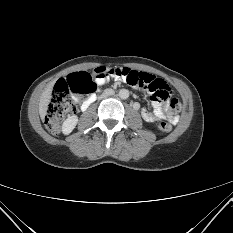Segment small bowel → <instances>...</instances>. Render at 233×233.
<instances>
[{"label":"small bowel","mask_w":233,"mask_h":233,"mask_svg":"<svg viewBox=\"0 0 233 233\" xmlns=\"http://www.w3.org/2000/svg\"><path fill=\"white\" fill-rule=\"evenodd\" d=\"M108 79H109L108 76H97L96 77V85L98 87H101V86H103V85H105L107 83ZM92 101H93V97L88 98L87 100H85L82 103L81 108L86 109L91 104ZM141 116L146 122H154V121H157V120L168 119L171 123L175 124L178 121L177 116H169L166 113L165 108L159 103L155 104L153 111H151V110H149L147 108H143L141 110Z\"/></svg>","instance_id":"1"}]
</instances>
